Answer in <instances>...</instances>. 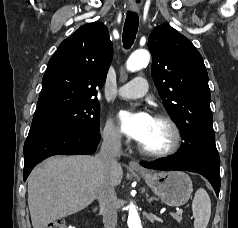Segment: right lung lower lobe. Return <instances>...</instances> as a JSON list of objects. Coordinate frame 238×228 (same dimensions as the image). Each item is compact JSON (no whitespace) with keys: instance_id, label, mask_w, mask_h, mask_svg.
<instances>
[{"instance_id":"98d812e1","label":"right lung lower lobe","mask_w":238,"mask_h":228,"mask_svg":"<svg viewBox=\"0 0 238 228\" xmlns=\"http://www.w3.org/2000/svg\"><path fill=\"white\" fill-rule=\"evenodd\" d=\"M100 138L99 132L79 127L32 125L24 144L23 180L47 157L58 154H93Z\"/></svg>"}]
</instances>
